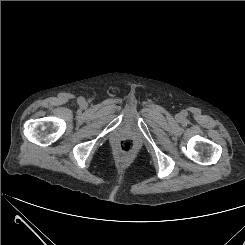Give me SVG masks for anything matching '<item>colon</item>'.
Listing matches in <instances>:
<instances>
[{
    "instance_id": "colon-1",
    "label": "colon",
    "mask_w": 245,
    "mask_h": 245,
    "mask_svg": "<svg viewBox=\"0 0 245 245\" xmlns=\"http://www.w3.org/2000/svg\"><path fill=\"white\" fill-rule=\"evenodd\" d=\"M118 153L123 157H130L135 152V144L130 139H123L118 143Z\"/></svg>"
}]
</instances>
